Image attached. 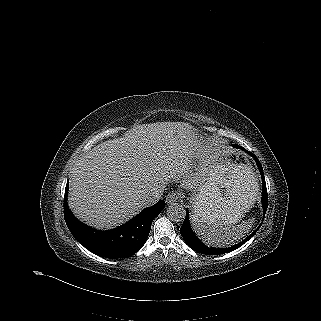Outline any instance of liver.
Returning a JSON list of instances; mask_svg holds the SVG:
<instances>
[{"mask_svg":"<svg viewBox=\"0 0 321 321\" xmlns=\"http://www.w3.org/2000/svg\"><path fill=\"white\" fill-rule=\"evenodd\" d=\"M179 154L169 155L168 147ZM206 146L184 122H157L132 128L123 137L104 141L81 157L71 171L68 205L81 221L99 229L121 225L146 206L144 195L164 190L186 177L194 189L208 170L192 175L191 158H203Z\"/></svg>","mask_w":321,"mask_h":321,"instance_id":"liver-1","label":"liver"}]
</instances>
